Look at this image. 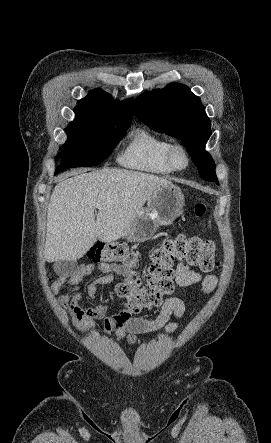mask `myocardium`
<instances>
[{
  "label": "myocardium",
  "mask_w": 271,
  "mask_h": 443,
  "mask_svg": "<svg viewBox=\"0 0 271 443\" xmlns=\"http://www.w3.org/2000/svg\"><path fill=\"white\" fill-rule=\"evenodd\" d=\"M179 150H181L187 158V165L184 167L179 166L176 161V153ZM167 159H168L171 167L175 171H179V172L187 170L192 164V155H191L189 149L184 144L179 143V142H173L169 145V148L167 150Z\"/></svg>",
  "instance_id": "1"
}]
</instances>
